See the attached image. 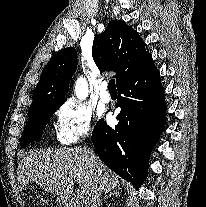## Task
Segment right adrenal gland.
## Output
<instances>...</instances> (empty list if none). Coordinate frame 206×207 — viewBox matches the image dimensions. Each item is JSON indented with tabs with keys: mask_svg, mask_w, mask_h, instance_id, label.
I'll use <instances>...</instances> for the list:
<instances>
[{
	"mask_svg": "<svg viewBox=\"0 0 206 207\" xmlns=\"http://www.w3.org/2000/svg\"><path fill=\"white\" fill-rule=\"evenodd\" d=\"M114 197V196H119V192L117 191V190H113L112 192H110L109 194H107V195H105L102 199H101V201H100V203H99V207H101L102 205H103V202L106 200V199H108V198H110V197Z\"/></svg>",
	"mask_w": 206,
	"mask_h": 207,
	"instance_id": "obj_1",
	"label": "right adrenal gland"
}]
</instances>
